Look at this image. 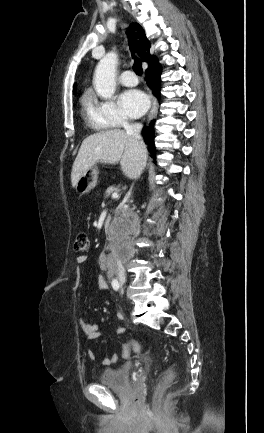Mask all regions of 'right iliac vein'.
Here are the masks:
<instances>
[{"label": "right iliac vein", "mask_w": 264, "mask_h": 433, "mask_svg": "<svg viewBox=\"0 0 264 433\" xmlns=\"http://www.w3.org/2000/svg\"><path fill=\"white\" fill-rule=\"evenodd\" d=\"M124 281H125V280H123V279L121 280L122 283H124Z\"/></svg>", "instance_id": "63e3f726"}]
</instances>
